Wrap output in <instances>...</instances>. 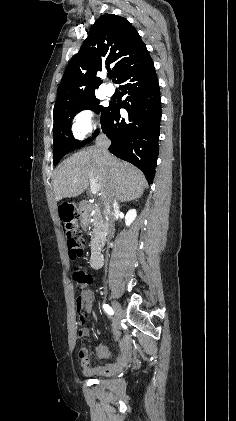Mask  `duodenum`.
I'll return each mask as SVG.
<instances>
[{"mask_svg":"<svg viewBox=\"0 0 236 421\" xmlns=\"http://www.w3.org/2000/svg\"><path fill=\"white\" fill-rule=\"evenodd\" d=\"M87 208L88 201L81 200L74 205V212L79 217L83 226H87ZM90 264L94 269H99L103 265V254L100 249H95L90 258ZM121 354L118 356L114 364H106L104 366L91 368L88 372L92 375H110L123 367L130 357V347L127 340H122L120 343Z\"/></svg>","mask_w":236,"mask_h":421,"instance_id":"410a0bca","label":"duodenum"}]
</instances>
